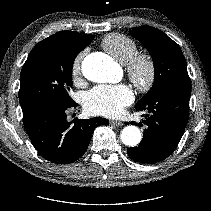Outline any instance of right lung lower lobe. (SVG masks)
Returning a JSON list of instances; mask_svg holds the SVG:
<instances>
[{
	"label": "right lung lower lobe",
	"instance_id": "98d812e1",
	"mask_svg": "<svg viewBox=\"0 0 211 211\" xmlns=\"http://www.w3.org/2000/svg\"><path fill=\"white\" fill-rule=\"evenodd\" d=\"M77 104L44 103L23 112L25 130L38 153L56 164H69L87 150L93 130L108 125L102 117L68 122L67 111Z\"/></svg>",
	"mask_w": 211,
	"mask_h": 211
}]
</instances>
